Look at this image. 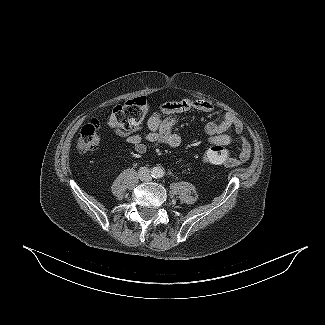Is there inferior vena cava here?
Here are the masks:
<instances>
[{
	"label": "inferior vena cava",
	"mask_w": 325,
	"mask_h": 325,
	"mask_svg": "<svg viewBox=\"0 0 325 325\" xmlns=\"http://www.w3.org/2000/svg\"><path fill=\"white\" fill-rule=\"evenodd\" d=\"M139 178L142 181H149L151 180V173L147 167H141L139 170Z\"/></svg>",
	"instance_id": "inferior-vena-cava-1"
}]
</instances>
